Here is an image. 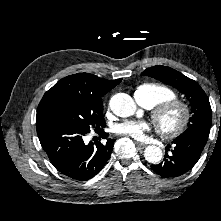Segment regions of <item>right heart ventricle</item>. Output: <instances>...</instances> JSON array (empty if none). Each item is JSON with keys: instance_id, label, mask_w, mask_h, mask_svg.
<instances>
[{"instance_id": "e07e8e85", "label": "right heart ventricle", "mask_w": 221, "mask_h": 221, "mask_svg": "<svg viewBox=\"0 0 221 221\" xmlns=\"http://www.w3.org/2000/svg\"><path fill=\"white\" fill-rule=\"evenodd\" d=\"M135 93H140L151 107L176 97V93L172 88L160 83L141 84L137 87Z\"/></svg>"}]
</instances>
